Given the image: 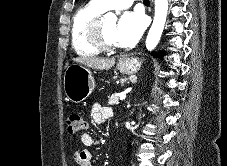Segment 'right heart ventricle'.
Wrapping results in <instances>:
<instances>
[{
	"label": "right heart ventricle",
	"instance_id": "e07e8e85",
	"mask_svg": "<svg viewBox=\"0 0 227 166\" xmlns=\"http://www.w3.org/2000/svg\"><path fill=\"white\" fill-rule=\"evenodd\" d=\"M105 11L95 1L90 0L74 14L71 24V45L78 55L95 56L100 53V50L90 42L87 28L93 19Z\"/></svg>",
	"mask_w": 227,
	"mask_h": 166
}]
</instances>
